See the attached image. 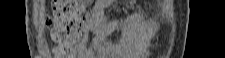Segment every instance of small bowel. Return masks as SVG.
I'll use <instances>...</instances> for the list:
<instances>
[{"instance_id":"c3829d8e","label":"small bowel","mask_w":225,"mask_h":58,"mask_svg":"<svg viewBox=\"0 0 225 58\" xmlns=\"http://www.w3.org/2000/svg\"><path fill=\"white\" fill-rule=\"evenodd\" d=\"M113 3V0H96L94 5L84 16L82 25V36L76 44L77 58H125L128 49L123 45L112 44L107 38L112 35L122 24L120 20H110L105 15V10ZM154 29L144 30L145 40L136 44L133 52H146L151 46V38ZM94 33L95 38L90 43V35Z\"/></svg>"}]
</instances>
